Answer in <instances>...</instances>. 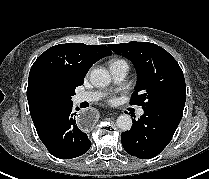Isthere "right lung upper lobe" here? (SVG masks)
<instances>
[{
	"label": "right lung upper lobe",
	"instance_id": "right-lung-upper-lobe-1",
	"mask_svg": "<svg viewBox=\"0 0 209 179\" xmlns=\"http://www.w3.org/2000/svg\"><path fill=\"white\" fill-rule=\"evenodd\" d=\"M111 54L105 45L83 43L59 44L42 53L32 65L28 78L27 99L34 125L71 104V96L83 84L89 68Z\"/></svg>",
	"mask_w": 209,
	"mask_h": 179
}]
</instances>
